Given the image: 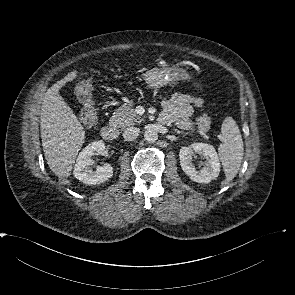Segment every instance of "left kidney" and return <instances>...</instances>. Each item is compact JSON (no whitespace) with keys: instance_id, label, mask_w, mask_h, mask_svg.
<instances>
[{"instance_id":"1","label":"left kidney","mask_w":295,"mask_h":295,"mask_svg":"<svg viewBox=\"0 0 295 295\" xmlns=\"http://www.w3.org/2000/svg\"><path fill=\"white\" fill-rule=\"evenodd\" d=\"M199 154L206 161L201 170L196 169L193 158ZM180 165L189 178L198 183H209L219 176L220 162L215 148L205 143H193L179 152Z\"/></svg>"}]
</instances>
